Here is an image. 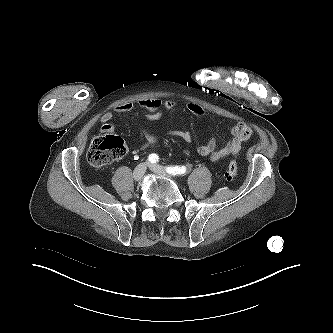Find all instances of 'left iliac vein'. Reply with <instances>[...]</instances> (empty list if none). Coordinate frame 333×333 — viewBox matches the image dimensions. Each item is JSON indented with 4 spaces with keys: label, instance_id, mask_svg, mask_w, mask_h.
I'll list each match as a JSON object with an SVG mask.
<instances>
[{
    "label": "left iliac vein",
    "instance_id": "4c4485c4",
    "mask_svg": "<svg viewBox=\"0 0 333 333\" xmlns=\"http://www.w3.org/2000/svg\"><path fill=\"white\" fill-rule=\"evenodd\" d=\"M149 168L151 171H153L154 173L158 174V175H161V176H166V177H169L171 178L172 175L169 174L166 169L161 166V165H158V164H149Z\"/></svg>",
    "mask_w": 333,
    "mask_h": 333
}]
</instances>
